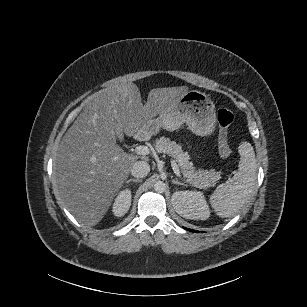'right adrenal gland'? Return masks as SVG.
Instances as JSON below:
<instances>
[{"label": "right adrenal gland", "instance_id": "1", "mask_svg": "<svg viewBox=\"0 0 307 307\" xmlns=\"http://www.w3.org/2000/svg\"><path fill=\"white\" fill-rule=\"evenodd\" d=\"M130 182L140 183V182H142V179L137 178V179H129V180L126 181L127 184L130 183Z\"/></svg>", "mask_w": 307, "mask_h": 307}]
</instances>
